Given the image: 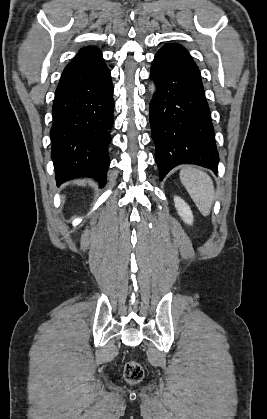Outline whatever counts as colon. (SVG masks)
Masks as SVG:
<instances>
[{
	"label": "colon",
	"instance_id": "obj_1",
	"mask_svg": "<svg viewBox=\"0 0 267 419\" xmlns=\"http://www.w3.org/2000/svg\"><path fill=\"white\" fill-rule=\"evenodd\" d=\"M144 376L142 366L136 361H129L124 368V378L131 384L139 383Z\"/></svg>",
	"mask_w": 267,
	"mask_h": 419
}]
</instances>
